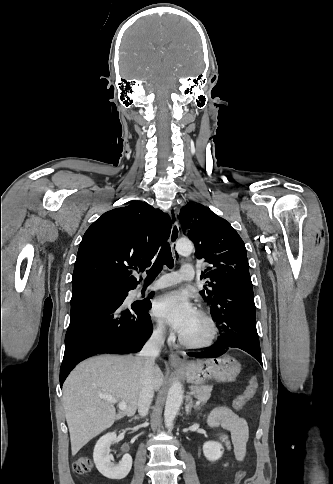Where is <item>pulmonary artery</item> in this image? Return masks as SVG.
Returning a JSON list of instances; mask_svg holds the SVG:
<instances>
[{
	"instance_id": "e3ab8cb5",
	"label": "pulmonary artery",
	"mask_w": 333,
	"mask_h": 484,
	"mask_svg": "<svg viewBox=\"0 0 333 484\" xmlns=\"http://www.w3.org/2000/svg\"><path fill=\"white\" fill-rule=\"evenodd\" d=\"M194 274H195V271H194L193 265L186 263L182 265L179 272H171V273L164 274L157 281L144 287L143 289H139V291L144 290L145 292H151L158 289L170 287V286L176 285L181 281L193 279Z\"/></svg>"
}]
</instances>
